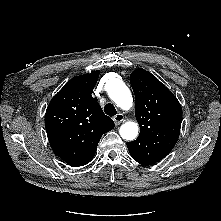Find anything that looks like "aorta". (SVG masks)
Masks as SVG:
<instances>
[{
  "label": "aorta",
  "mask_w": 221,
  "mask_h": 221,
  "mask_svg": "<svg viewBox=\"0 0 221 221\" xmlns=\"http://www.w3.org/2000/svg\"><path fill=\"white\" fill-rule=\"evenodd\" d=\"M106 90L110 99L123 110H128L133 105V98L129 88L118 78H112L106 83ZM139 127L133 121L121 125L119 133L125 140L132 141L138 135Z\"/></svg>",
  "instance_id": "aorta-1"
}]
</instances>
